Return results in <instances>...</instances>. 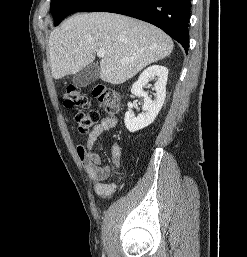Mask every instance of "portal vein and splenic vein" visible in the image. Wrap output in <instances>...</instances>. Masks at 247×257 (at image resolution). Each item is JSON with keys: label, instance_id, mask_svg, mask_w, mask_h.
I'll return each instance as SVG.
<instances>
[{"label": "portal vein and splenic vein", "instance_id": "obj_1", "mask_svg": "<svg viewBox=\"0 0 247 257\" xmlns=\"http://www.w3.org/2000/svg\"><path fill=\"white\" fill-rule=\"evenodd\" d=\"M105 55V51L103 49H100L97 51V56L98 57H103Z\"/></svg>", "mask_w": 247, "mask_h": 257}]
</instances>
